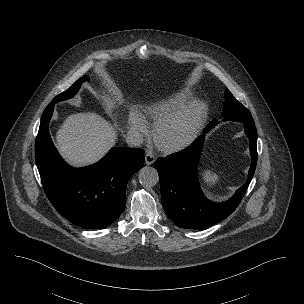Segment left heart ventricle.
Instances as JSON below:
<instances>
[{
	"label": "left heart ventricle",
	"mask_w": 304,
	"mask_h": 304,
	"mask_svg": "<svg viewBox=\"0 0 304 304\" xmlns=\"http://www.w3.org/2000/svg\"><path fill=\"white\" fill-rule=\"evenodd\" d=\"M184 128H185V124L180 123L178 125H174L173 127H171L169 133L171 135H178L184 130Z\"/></svg>",
	"instance_id": "obj_1"
}]
</instances>
